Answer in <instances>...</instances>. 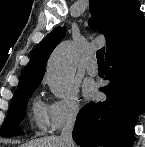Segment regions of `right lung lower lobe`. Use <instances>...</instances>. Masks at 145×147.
Segmentation results:
<instances>
[{
	"label": "right lung lower lobe",
	"mask_w": 145,
	"mask_h": 147,
	"mask_svg": "<svg viewBox=\"0 0 145 147\" xmlns=\"http://www.w3.org/2000/svg\"><path fill=\"white\" fill-rule=\"evenodd\" d=\"M109 84L103 102H90L77 116L73 140L81 147H131L134 125L145 110V23L106 57Z\"/></svg>",
	"instance_id": "98d812e1"
}]
</instances>
